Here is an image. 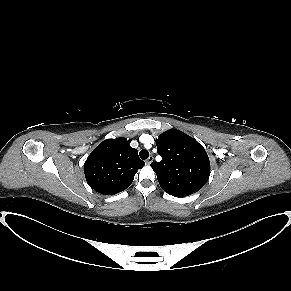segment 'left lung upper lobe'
<instances>
[{
  "label": "left lung upper lobe",
  "instance_id": "left-lung-upper-lobe-1",
  "mask_svg": "<svg viewBox=\"0 0 291 291\" xmlns=\"http://www.w3.org/2000/svg\"><path fill=\"white\" fill-rule=\"evenodd\" d=\"M160 162L151 167L161 188L175 197H185L201 189L210 175V161L203 146L176 129H170L156 140Z\"/></svg>",
  "mask_w": 291,
  "mask_h": 291
}]
</instances>
